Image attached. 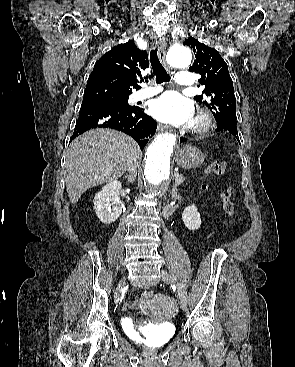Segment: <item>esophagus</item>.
Listing matches in <instances>:
<instances>
[{
    "instance_id": "1",
    "label": "esophagus",
    "mask_w": 295,
    "mask_h": 367,
    "mask_svg": "<svg viewBox=\"0 0 295 367\" xmlns=\"http://www.w3.org/2000/svg\"><path fill=\"white\" fill-rule=\"evenodd\" d=\"M156 45L159 46V59L160 61L163 63V65L169 69V66L166 62V41L165 39H159V40H156ZM167 127L166 126H163V125H159L158 126V130H165Z\"/></svg>"
}]
</instances>
